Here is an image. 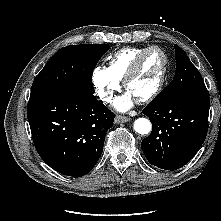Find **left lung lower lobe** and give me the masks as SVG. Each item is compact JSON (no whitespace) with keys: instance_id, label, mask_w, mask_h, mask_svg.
Masks as SVG:
<instances>
[{"instance_id":"left-lung-lower-lobe-1","label":"left lung lower lobe","mask_w":221,"mask_h":221,"mask_svg":"<svg viewBox=\"0 0 221 221\" xmlns=\"http://www.w3.org/2000/svg\"><path fill=\"white\" fill-rule=\"evenodd\" d=\"M142 112L152 122V132L142 141L141 148L149 163L159 168H181L206 138L209 97L185 96L150 102Z\"/></svg>"}]
</instances>
